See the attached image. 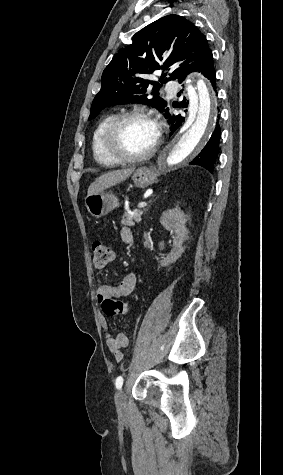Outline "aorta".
<instances>
[{
	"label": "aorta",
	"mask_w": 283,
	"mask_h": 475,
	"mask_svg": "<svg viewBox=\"0 0 283 475\" xmlns=\"http://www.w3.org/2000/svg\"><path fill=\"white\" fill-rule=\"evenodd\" d=\"M189 98L188 117L173 139L158 156V166L171 170L195 157L206 144L217 117L214 92L210 85L199 78L196 88L187 86Z\"/></svg>",
	"instance_id": "1"
}]
</instances>
